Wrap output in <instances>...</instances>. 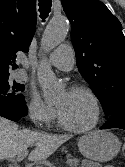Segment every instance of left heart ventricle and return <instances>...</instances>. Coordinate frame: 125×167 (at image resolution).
<instances>
[{
	"label": "left heart ventricle",
	"mask_w": 125,
	"mask_h": 167,
	"mask_svg": "<svg viewBox=\"0 0 125 167\" xmlns=\"http://www.w3.org/2000/svg\"><path fill=\"white\" fill-rule=\"evenodd\" d=\"M64 119L72 126L85 127L95 116V107L88 95L82 92H63L56 101Z\"/></svg>",
	"instance_id": "obj_1"
}]
</instances>
